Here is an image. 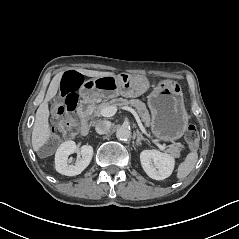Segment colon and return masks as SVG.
<instances>
[{
	"label": "colon",
	"mask_w": 239,
	"mask_h": 239,
	"mask_svg": "<svg viewBox=\"0 0 239 239\" xmlns=\"http://www.w3.org/2000/svg\"><path fill=\"white\" fill-rule=\"evenodd\" d=\"M83 82L80 74L75 72L66 73L60 82L62 102L54 108V125L52 132L55 140L69 138L77 133L76 109L78 106L77 90ZM198 131L194 125H189L185 131V140L190 149H196L198 145Z\"/></svg>",
	"instance_id": "colon-1"
}]
</instances>
